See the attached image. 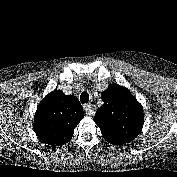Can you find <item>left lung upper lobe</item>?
I'll return each instance as SVG.
<instances>
[{
  "label": "left lung upper lobe",
  "mask_w": 177,
  "mask_h": 177,
  "mask_svg": "<svg viewBox=\"0 0 177 177\" xmlns=\"http://www.w3.org/2000/svg\"><path fill=\"white\" fill-rule=\"evenodd\" d=\"M104 102L93 118L104 139L113 145H125L133 141L144 124L141 104L131 92L118 84H111L101 94Z\"/></svg>",
  "instance_id": "obj_1"
}]
</instances>
